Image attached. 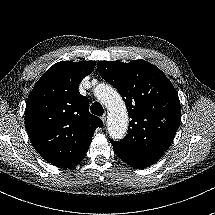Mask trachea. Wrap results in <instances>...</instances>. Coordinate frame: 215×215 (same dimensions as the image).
I'll return each mask as SVG.
<instances>
[{
  "mask_svg": "<svg viewBox=\"0 0 215 215\" xmlns=\"http://www.w3.org/2000/svg\"><path fill=\"white\" fill-rule=\"evenodd\" d=\"M91 112L94 115L101 116L103 114V112H104V108L99 102H94L91 105Z\"/></svg>",
  "mask_w": 215,
  "mask_h": 215,
  "instance_id": "trachea-1",
  "label": "trachea"
}]
</instances>
